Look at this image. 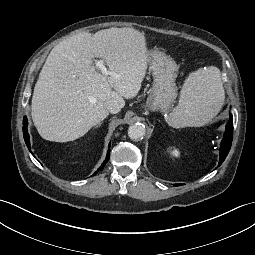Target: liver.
<instances>
[{
	"label": "liver",
	"mask_w": 255,
	"mask_h": 255,
	"mask_svg": "<svg viewBox=\"0 0 255 255\" xmlns=\"http://www.w3.org/2000/svg\"><path fill=\"white\" fill-rule=\"evenodd\" d=\"M149 52L145 34L133 28H109L71 36L48 55L35 84L31 115L40 136L73 141L104 120L107 100L121 108L135 97L145 77ZM102 59L111 75L96 71Z\"/></svg>",
	"instance_id": "liver-1"
}]
</instances>
